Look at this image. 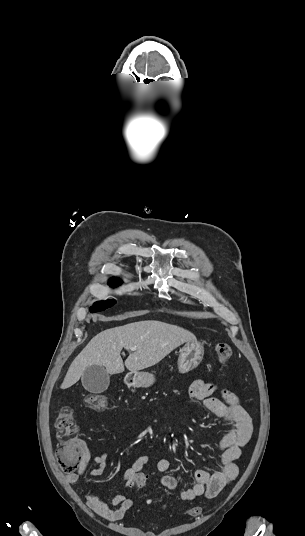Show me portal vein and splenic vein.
<instances>
[{
	"label": "portal vein and splenic vein",
	"instance_id": "1",
	"mask_svg": "<svg viewBox=\"0 0 305 536\" xmlns=\"http://www.w3.org/2000/svg\"><path fill=\"white\" fill-rule=\"evenodd\" d=\"M130 350H136V348H130Z\"/></svg>",
	"mask_w": 305,
	"mask_h": 536
}]
</instances>
